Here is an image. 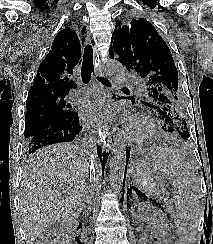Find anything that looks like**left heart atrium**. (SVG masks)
<instances>
[{"label":"left heart atrium","mask_w":213,"mask_h":244,"mask_svg":"<svg viewBox=\"0 0 213 244\" xmlns=\"http://www.w3.org/2000/svg\"><path fill=\"white\" fill-rule=\"evenodd\" d=\"M84 117L95 125H103L113 119L119 118L125 125H129V115L109 99L99 97L88 100L83 108Z\"/></svg>","instance_id":"obj_1"}]
</instances>
